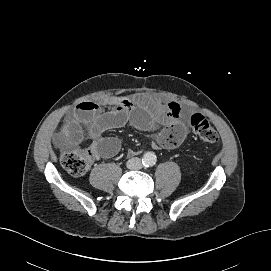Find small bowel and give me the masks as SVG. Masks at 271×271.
Wrapping results in <instances>:
<instances>
[{
  "mask_svg": "<svg viewBox=\"0 0 271 271\" xmlns=\"http://www.w3.org/2000/svg\"><path fill=\"white\" fill-rule=\"evenodd\" d=\"M108 107V110H105ZM183 110L173 101H161L144 93L128 97L113 96L102 101H84L77 105L55 136L58 147L67 149L90 141L95 158H109L120 150V141L104 133L130 121L138 129L161 126L156 145L162 148L179 146L188 134L181 121Z\"/></svg>",
  "mask_w": 271,
  "mask_h": 271,
  "instance_id": "obj_1",
  "label": "small bowel"
}]
</instances>
